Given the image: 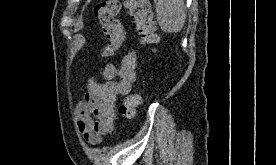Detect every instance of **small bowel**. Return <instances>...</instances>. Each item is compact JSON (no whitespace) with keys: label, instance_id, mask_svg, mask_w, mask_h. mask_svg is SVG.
<instances>
[{"label":"small bowel","instance_id":"obj_1","mask_svg":"<svg viewBox=\"0 0 276 165\" xmlns=\"http://www.w3.org/2000/svg\"><path fill=\"white\" fill-rule=\"evenodd\" d=\"M137 56L129 51L120 66L107 64L102 72L104 82L91 78L83 100L76 105L77 126L86 142L99 144L113 131L116 119V99L130 93L136 81Z\"/></svg>","mask_w":276,"mask_h":165}]
</instances>
